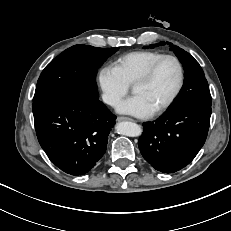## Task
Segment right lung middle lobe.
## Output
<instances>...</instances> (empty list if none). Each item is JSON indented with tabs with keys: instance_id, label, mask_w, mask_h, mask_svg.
Segmentation results:
<instances>
[{
	"instance_id": "1",
	"label": "right lung middle lobe",
	"mask_w": 231,
	"mask_h": 231,
	"mask_svg": "<svg viewBox=\"0 0 231 231\" xmlns=\"http://www.w3.org/2000/svg\"><path fill=\"white\" fill-rule=\"evenodd\" d=\"M115 48L74 45L54 58L42 71L33 102L58 95L75 94L99 98L95 77L98 68Z\"/></svg>"
}]
</instances>
